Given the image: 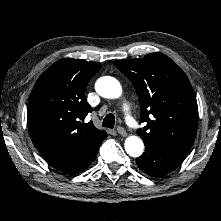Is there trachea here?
Listing matches in <instances>:
<instances>
[{
  "mask_svg": "<svg viewBox=\"0 0 221 221\" xmlns=\"http://www.w3.org/2000/svg\"><path fill=\"white\" fill-rule=\"evenodd\" d=\"M115 125V117L113 114H108L103 122H102V126L103 127H107V128H114Z\"/></svg>",
  "mask_w": 221,
  "mask_h": 221,
  "instance_id": "3493384b",
  "label": "trachea"
}]
</instances>
